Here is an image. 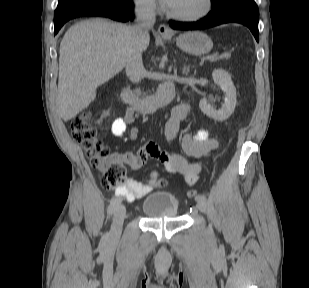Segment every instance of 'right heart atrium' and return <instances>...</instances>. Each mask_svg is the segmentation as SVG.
Returning a JSON list of instances; mask_svg holds the SVG:
<instances>
[{
	"mask_svg": "<svg viewBox=\"0 0 309 288\" xmlns=\"http://www.w3.org/2000/svg\"><path fill=\"white\" fill-rule=\"evenodd\" d=\"M136 7L146 12H153L158 9L157 0H133Z\"/></svg>",
	"mask_w": 309,
	"mask_h": 288,
	"instance_id": "right-heart-atrium-1",
	"label": "right heart atrium"
}]
</instances>
